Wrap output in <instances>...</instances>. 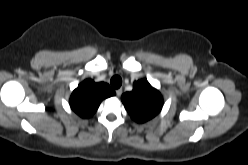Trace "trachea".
Returning a JSON list of instances; mask_svg holds the SVG:
<instances>
[{
    "instance_id": "3493384b",
    "label": "trachea",
    "mask_w": 248,
    "mask_h": 165,
    "mask_svg": "<svg viewBox=\"0 0 248 165\" xmlns=\"http://www.w3.org/2000/svg\"><path fill=\"white\" fill-rule=\"evenodd\" d=\"M110 84L114 89L120 88L122 85V79L120 76H113L110 80Z\"/></svg>"
}]
</instances>
